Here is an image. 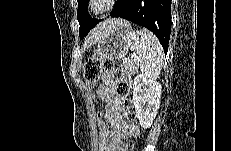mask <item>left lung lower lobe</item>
<instances>
[{
    "mask_svg": "<svg viewBox=\"0 0 231 151\" xmlns=\"http://www.w3.org/2000/svg\"><path fill=\"white\" fill-rule=\"evenodd\" d=\"M118 4L110 13L111 17H120L152 31L160 40L167 53L171 32L170 0H131Z\"/></svg>",
    "mask_w": 231,
    "mask_h": 151,
    "instance_id": "0a47b994",
    "label": "left lung lower lobe"
}]
</instances>
